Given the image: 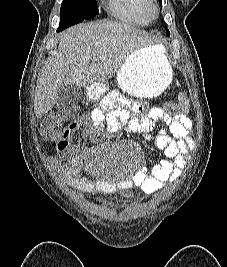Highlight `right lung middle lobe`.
<instances>
[{"mask_svg":"<svg viewBox=\"0 0 227 267\" xmlns=\"http://www.w3.org/2000/svg\"><path fill=\"white\" fill-rule=\"evenodd\" d=\"M99 14L96 0H63L60 9L61 31Z\"/></svg>","mask_w":227,"mask_h":267,"instance_id":"obj_1","label":"right lung middle lobe"}]
</instances>
